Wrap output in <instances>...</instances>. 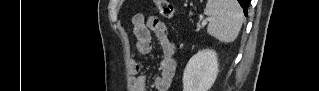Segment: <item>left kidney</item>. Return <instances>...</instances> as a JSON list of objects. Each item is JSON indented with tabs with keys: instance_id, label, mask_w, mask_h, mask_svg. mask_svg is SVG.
<instances>
[{
	"instance_id": "left-kidney-1",
	"label": "left kidney",
	"mask_w": 319,
	"mask_h": 91,
	"mask_svg": "<svg viewBox=\"0 0 319 91\" xmlns=\"http://www.w3.org/2000/svg\"><path fill=\"white\" fill-rule=\"evenodd\" d=\"M219 64L214 50H202L188 61L183 74V91H208L214 84Z\"/></svg>"
}]
</instances>
